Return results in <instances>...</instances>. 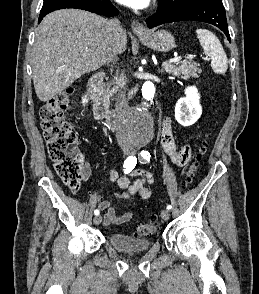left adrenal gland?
Returning <instances> with one entry per match:
<instances>
[{"instance_id": "obj_1", "label": "left adrenal gland", "mask_w": 259, "mask_h": 294, "mask_svg": "<svg viewBox=\"0 0 259 294\" xmlns=\"http://www.w3.org/2000/svg\"><path fill=\"white\" fill-rule=\"evenodd\" d=\"M159 72H161V73H162V72H163V70L161 69V70H159Z\"/></svg>"}]
</instances>
